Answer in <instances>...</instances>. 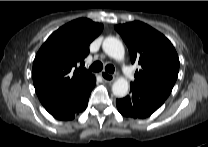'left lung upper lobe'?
Returning a JSON list of instances; mask_svg holds the SVG:
<instances>
[{
    "label": "left lung upper lobe",
    "mask_w": 208,
    "mask_h": 147,
    "mask_svg": "<svg viewBox=\"0 0 208 147\" xmlns=\"http://www.w3.org/2000/svg\"><path fill=\"white\" fill-rule=\"evenodd\" d=\"M115 29L129 49L131 62L141 66L131 84L167 98L179 72V58L171 42L139 21L117 25Z\"/></svg>",
    "instance_id": "left-lung-upper-lobe-1"
}]
</instances>
